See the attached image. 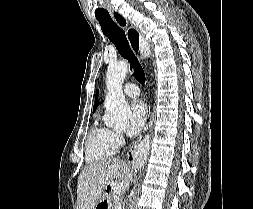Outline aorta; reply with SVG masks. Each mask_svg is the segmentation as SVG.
<instances>
[{"label":"aorta","instance_id":"aorta-1","mask_svg":"<svg viewBox=\"0 0 253 209\" xmlns=\"http://www.w3.org/2000/svg\"><path fill=\"white\" fill-rule=\"evenodd\" d=\"M128 72L127 61L110 64L106 74V125L125 128L129 122L130 108L125 100L122 86Z\"/></svg>","mask_w":253,"mask_h":209}]
</instances>
